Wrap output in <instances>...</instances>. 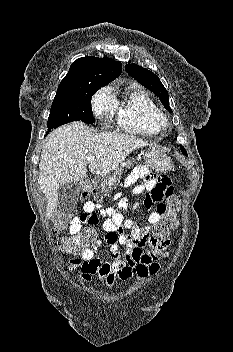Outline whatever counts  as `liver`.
I'll return each instance as SVG.
<instances>
[{
	"label": "liver",
	"instance_id": "1",
	"mask_svg": "<svg viewBox=\"0 0 233 352\" xmlns=\"http://www.w3.org/2000/svg\"><path fill=\"white\" fill-rule=\"evenodd\" d=\"M140 138L122 133H97L82 122L53 131L41 152L39 185L46 196L47 216L57 205L58 191L65 183L82 181L87 167L94 175L115 170L134 150L147 146ZM93 156L95 160L87 161Z\"/></svg>",
	"mask_w": 233,
	"mask_h": 352
}]
</instances>
